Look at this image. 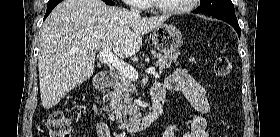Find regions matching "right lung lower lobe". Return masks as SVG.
Segmentation results:
<instances>
[{"mask_svg":"<svg viewBox=\"0 0 280 137\" xmlns=\"http://www.w3.org/2000/svg\"><path fill=\"white\" fill-rule=\"evenodd\" d=\"M62 0H49L47 4V10L44 19L50 14V12L53 10V8L60 3ZM108 5H114V3L111 0H103Z\"/></svg>","mask_w":280,"mask_h":137,"instance_id":"98d812e1","label":"right lung lower lobe"}]
</instances>
